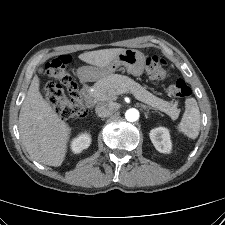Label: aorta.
<instances>
[{
  "instance_id": "1",
  "label": "aorta",
  "mask_w": 225,
  "mask_h": 225,
  "mask_svg": "<svg viewBox=\"0 0 225 225\" xmlns=\"http://www.w3.org/2000/svg\"><path fill=\"white\" fill-rule=\"evenodd\" d=\"M125 118L129 122H135L139 119V111L135 108H130L125 112Z\"/></svg>"
}]
</instances>
